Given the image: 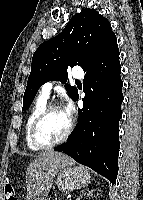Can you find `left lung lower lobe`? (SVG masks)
<instances>
[{"label":"left lung lower lobe","instance_id":"obj_1","mask_svg":"<svg viewBox=\"0 0 143 200\" xmlns=\"http://www.w3.org/2000/svg\"><path fill=\"white\" fill-rule=\"evenodd\" d=\"M116 37L84 69L83 108L68 141L56 147L113 184L118 174L119 120L123 102L121 65ZM78 93L74 101L78 100Z\"/></svg>","mask_w":143,"mask_h":200}]
</instances>
